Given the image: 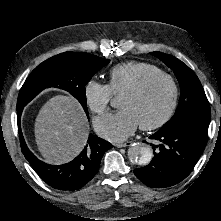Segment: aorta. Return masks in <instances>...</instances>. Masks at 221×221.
<instances>
[{
  "mask_svg": "<svg viewBox=\"0 0 221 221\" xmlns=\"http://www.w3.org/2000/svg\"><path fill=\"white\" fill-rule=\"evenodd\" d=\"M129 160L136 165H147L153 158L152 148L143 143H134L128 149Z\"/></svg>",
  "mask_w": 221,
  "mask_h": 221,
  "instance_id": "1",
  "label": "aorta"
}]
</instances>
